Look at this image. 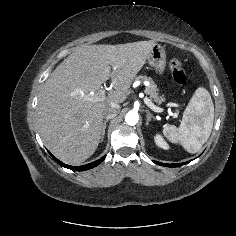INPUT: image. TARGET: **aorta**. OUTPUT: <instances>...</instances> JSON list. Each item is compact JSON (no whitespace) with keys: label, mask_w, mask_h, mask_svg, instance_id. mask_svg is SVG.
Segmentation results:
<instances>
[{"label":"aorta","mask_w":236,"mask_h":236,"mask_svg":"<svg viewBox=\"0 0 236 236\" xmlns=\"http://www.w3.org/2000/svg\"><path fill=\"white\" fill-rule=\"evenodd\" d=\"M138 120H139V115L134 111H129L125 116L126 123L131 126L136 125Z\"/></svg>","instance_id":"obj_1"}]
</instances>
